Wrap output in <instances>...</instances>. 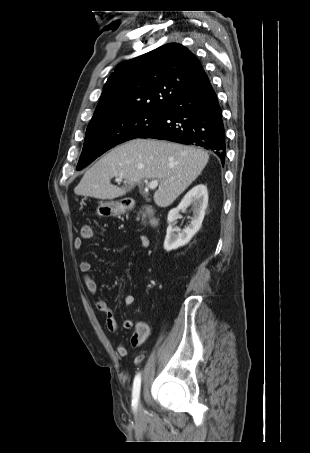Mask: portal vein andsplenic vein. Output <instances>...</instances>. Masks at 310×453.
I'll list each match as a JSON object with an SVG mask.
<instances>
[{
  "label": "portal vein and splenic vein",
  "mask_w": 310,
  "mask_h": 453,
  "mask_svg": "<svg viewBox=\"0 0 310 453\" xmlns=\"http://www.w3.org/2000/svg\"><path fill=\"white\" fill-rule=\"evenodd\" d=\"M122 181V178L120 177H117L116 178V182H121ZM158 186V181L157 180H152L151 182L147 183V187L150 188L151 190H154L156 189Z\"/></svg>",
  "instance_id": "obj_1"
}]
</instances>
